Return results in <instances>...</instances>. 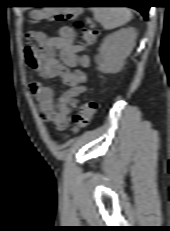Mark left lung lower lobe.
<instances>
[{
	"mask_svg": "<svg viewBox=\"0 0 170 231\" xmlns=\"http://www.w3.org/2000/svg\"><path fill=\"white\" fill-rule=\"evenodd\" d=\"M128 3L133 4V6L130 7L139 11L143 15L144 19H148L149 6L146 5L145 0H131Z\"/></svg>",
	"mask_w": 170,
	"mask_h": 231,
	"instance_id": "left-lung-lower-lobe-1",
	"label": "left lung lower lobe"
}]
</instances>
